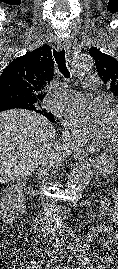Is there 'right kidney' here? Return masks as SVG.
<instances>
[{
    "instance_id": "ca27d5eb",
    "label": "right kidney",
    "mask_w": 118,
    "mask_h": 269,
    "mask_svg": "<svg viewBox=\"0 0 118 269\" xmlns=\"http://www.w3.org/2000/svg\"><path fill=\"white\" fill-rule=\"evenodd\" d=\"M24 183L11 184L4 190L0 200V218L5 222L17 219L19 213L24 212L26 200L23 195Z\"/></svg>"
}]
</instances>
